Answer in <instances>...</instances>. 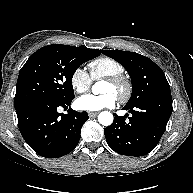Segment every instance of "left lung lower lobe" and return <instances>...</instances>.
<instances>
[{"mask_svg": "<svg viewBox=\"0 0 193 193\" xmlns=\"http://www.w3.org/2000/svg\"><path fill=\"white\" fill-rule=\"evenodd\" d=\"M124 109L132 117L125 121L126 116L114 114L112 125L104 129L108 145L121 155L139 157L148 154L162 137L172 113L170 87Z\"/></svg>", "mask_w": 193, "mask_h": 193, "instance_id": "1", "label": "left lung lower lobe"}]
</instances>
